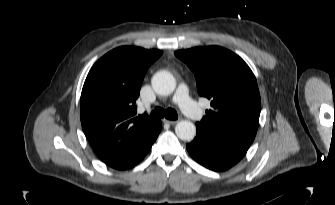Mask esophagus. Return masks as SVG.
Masks as SVG:
<instances>
[{"mask_svg": "<svg viewBox=\"0 0 335 205\" xmlns=\"http://www.w3.org/2000/svg\"><path fill=\"white\" fill-rule=\"evenodd\" d=\"M163 121L171 125H175L178 122L177 120H168V119H163Z\"/></svg>", "mask_w": 335, "mask_h": 205, "instance_id": "1", "label": "esophagus"}]
</instances>
